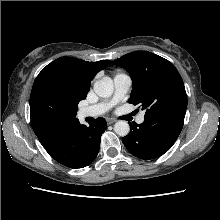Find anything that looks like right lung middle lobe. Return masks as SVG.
Listing matches in <instances>:
<instances>
[{
  "instance_id": "dd1d6c3e",
  "label": "right lung middle lobe",
  "mask_w": 220,
  "mask_h": 220,
  "mask_svg": "<svg viewBox=\"0 0 220 220\" xmlns=\"http://www.w3.org/2000/svg\"><path fill=\"white\" fill-rule=\"evenodd\" d=\"M72 83L64 78L45 77L33 84L30 96L31 124L45 130H60L76 120L77 100Z\"/></svg>"
}]
</instances>
